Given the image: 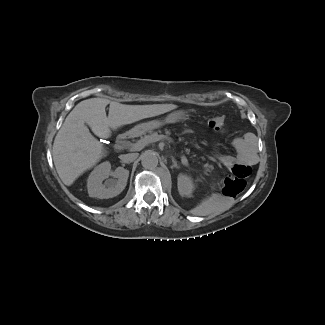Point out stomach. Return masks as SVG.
I'll return each instance as SVG.
<instances>
[{
    "label": "stomach",
    "instance_id": "0dacf381",
    "mask_svg": "<svg viewBox=\"0 0 325 325\" xmlns=\"http://www.w3.org/2000/svg\"><path fill=\"white\" fill-rule=\"evenodd\" d=\"M184 118V114L182 111H176L174 113H171L167 116L165 119V123H175L179 120ZM162 123L159 121H152L149 123L141 124L139 126L134 127L128 132L129 136H139L144 134L147 131H150L152 129L158 128Z\"/></svg>",
    "mask_w": 325,
    "mask_h": 325
}]
</instances>
